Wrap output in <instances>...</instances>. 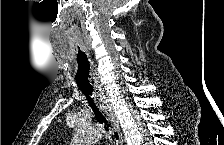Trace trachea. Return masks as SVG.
Masks as SVG:
<instances>
[{
  "instance_id": "3493384b",
  "label": "trachea",
  "mask_w": 224,
  "mask_h": 145,
  "mask_svg": "<svg viewBox=\"0 0 224 145\" xmlns=\"http://www.w3.org/2000/svg\"><path fill=\"white\" fill-rule=\"evenodd\" d=\"M81 55L80 49L78 51V57ZM77 78L78 82H80L82 85L80 86V90L84 93L90 107L92 108L97 121L100 124H106L107 121L100 111L97 103L95 102V99L93 97L94 90L91 85L90 80V66L87 61L86 56H82L80 59H78V70H77Z\"/></svg>"
}]
</instances>
